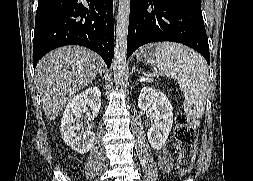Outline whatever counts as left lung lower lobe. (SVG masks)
Returning <instances> with one entry per match:
<instances>
[{"instance_id":"0a47b994","label":"left lung lower lobe","mask_w":253,"mask_h":181,"mask_svg":"<svg viewBox=\"0 0 253 181\" xmlns=\"http://www.w3.org/2000/svg\"><path fill=\"white\" fill-rule=\"evenodd\" d=\"M159 41L187 45L209 64L200 0H130L127 58L140 46Z\"/></svg>"}]
</instances>
